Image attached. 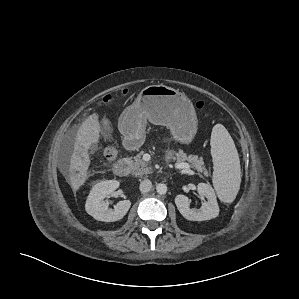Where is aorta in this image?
<instances>
[{"mask_svg": "<svg viewBox=\"0 0 299 299\" xmlns=\"http://www.w3.org/2000/svg\"><path fill=\"white\" fill-rule=\"evenodd\" d=\"M156 191L158 194L163 195L167 192V186L163 183H159L156 186Z\"/></svg>", "mask_w": 299, "mask_h": 299, "instance_id": "aorta-1", "label": "aorta"}]
</instances>
